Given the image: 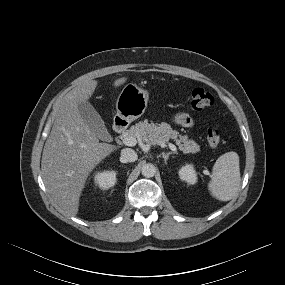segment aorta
Segmentation results:
<instances>
[{
    "label": "aorta",
    "mask_w": 285,
    "mask_h": 285,
    "mask_svg": "<svg viewBox=\"0 0 285 285\" xmlns=\"http://www.w3.org/2000/svg\"><path fill=\"white\" fill-rule=\"evenodd\" d=\"M142 175L146 178H151L155 175L156 173V168L153 164L147 163L142 166L141 169Z\"/></svg>",
    "instance_id": "aorta-1"
}]
</instances>
